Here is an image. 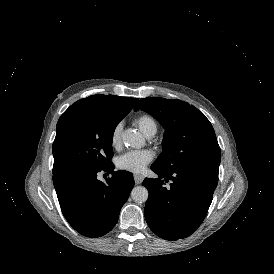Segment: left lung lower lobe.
I'll use <instances>...</instances> for the list:
<instances>
[{"instance_id":"1","label":"left lung lower lobe","mask_w":274,"mask_h":274,"mask_svg":"<svg viewBox=\"0 0 274 274\" xmlns=\"http://www.w3.org/2000/svg\"><path fill=\"white\" fill-rule=\"evenodd\" d=\"M151 170L158 178L143 181L149 191L144 214L150 229L170 241L191 235L212 202L218 170L207 166L166 170L154 164ZM169 181L170 187H164V182Z\"/></svg>"}]
</instances>
